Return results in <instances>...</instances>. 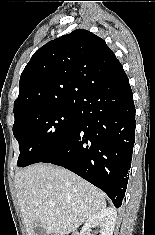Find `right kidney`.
Here are the masks:
<instances>
[{
	"instance_id": "right-kidney-1",
	"label": "right kidney",
	"mask_w": 155,
	"mask_h": 235,
	"mask_svg": "<svg viewBox=\"0 0 155 235\" xmlns=\"http://www.w3.org/2000/svg\"><path fill=\"white\" fill-rule=\"evenodd\" d=\"M117 219V212L112 208L101 210L100 212L88 218L83 226L80 235H85V232L90 230L95 225L100 226V235H113Z\"/></svg>"
}]
</instances>
